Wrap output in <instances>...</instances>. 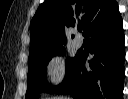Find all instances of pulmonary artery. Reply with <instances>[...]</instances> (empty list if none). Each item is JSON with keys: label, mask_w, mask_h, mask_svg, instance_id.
I'll return each instance as SVG.
<instances>
[{"label": "pulmonary artery", "mask_w": 128, "mask_h": 99, "mask_svg": "<svg viewBox=\"0 0 128 99\" xmlns=\"http://www.w3.org/2000/svg\"><path fill=\"white\" fill-rule=\"evenodd\" d=\"M75 46L76 47H81L82 46V44H83V41H82V39H81V37H79L78 35L76 36V38H75Z\"/></svg>", "instance_id": "pulmonary-artery-1"}]
</instances>
